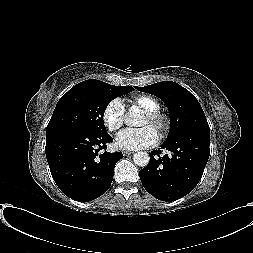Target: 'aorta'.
Returning a JSON list of instances; mask_svg holds the SVG:
<instances>
[{
    "label": "aorta",
    "mask_w": 253,
    "mask_h": 253,
    "mask_svg": "<svg viewBox=\"0 0 253 253\" xmlns=\"http://www.w3.org/2000/svg\"><path fill=\"white\" fill-rule=\"evenodd\" d=\"M127 125L135 126L139 124V119L136 115L130 113L125 119ZM133 161L135 165L139 167H146L150 161L149 154L147 152H137L133 155Z\"/></svg>",
    "instance_id": "762f6f07"
}]
</instances>
